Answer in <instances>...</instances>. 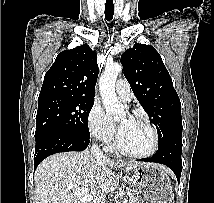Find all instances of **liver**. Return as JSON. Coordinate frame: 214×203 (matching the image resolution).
I'll return each mask as SVG.
<instances>
[{
	"instance_id": "obj_1",
	"label": "liver",
	"mask_w": 214,
	"mask_h": 203,
	"mask_svg": "<svg viewBox=\"0 0 214 203\" xmlns=\"http://www.w3.org/2000/svg\"><path fill=\"white\" fill-rule=\"evenodd\" d=\"M139 162L116 163L93 156L89 151L62 152L49 156L34 174L36 203H84L74 195L77 189H88L91 203L113 192L119 179L113 171L131 172Z\"/></svg>"
}]
</instances>
